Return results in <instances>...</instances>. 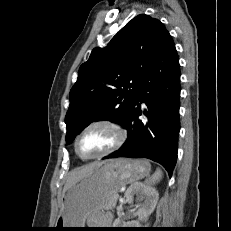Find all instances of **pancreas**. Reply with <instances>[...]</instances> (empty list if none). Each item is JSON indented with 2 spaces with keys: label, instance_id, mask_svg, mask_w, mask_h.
I'll use <instances>...</instances> for the list:
<instances>
[{
  "label": "pancreas",
  "instance_id": "obj_1",
  "mask_svg": "<svg viewBox=\"0 0 231 231\" xmlns=\"http://www.w3.org/2000/svg\"><path fill=\"white\" fill-rule=\"evenodd\" d=\"M117 199L115 198V195L110 199L108 208H114L116 205Z\"/></svg>",
  "mask_w": 231,
  "mask_h": 231
}]
</instances>
